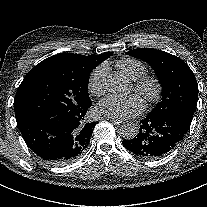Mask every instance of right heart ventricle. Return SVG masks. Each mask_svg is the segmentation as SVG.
Instances as JSON below:
<instances>
[{"mask_svg": "<svg viewBox=\"0 0 207 207\" xmlns=\"http://www.w3.org/2000/svg\"><path fill=\"white\" fill-rule=\"evenodd\" d=\"M116 66L132 80H137L146 73L145 66L132 58L121 59L116 63Z\"/></svg>", "mask_w": 207, "mask_h": 207, "instance_id": "e07e8e85", "label": "right heart ventricle"}]
</instances>
